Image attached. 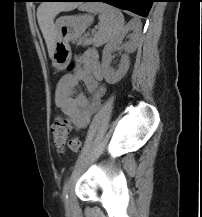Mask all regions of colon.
I'll use <instances>...</instances> for the list:
<instances>
[{"label": "colon", "instance_id": "obj_1", "mask_svg": "<svg viewBox=\"0 0 202 217\" xmlns=\"http://www.w3.org/2000/svg\"><path fill=\"white\" fill-rule=\"evenodd\" d=\"M51 134L57 149L63 150L68 145L73 152L81 150L80 139L77 136L69 137V121L67 118L56 117L51 126Z\"/></svg>", "mask_w": 202, "mask_h": 217}]
</instances>
